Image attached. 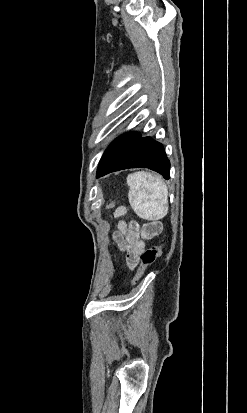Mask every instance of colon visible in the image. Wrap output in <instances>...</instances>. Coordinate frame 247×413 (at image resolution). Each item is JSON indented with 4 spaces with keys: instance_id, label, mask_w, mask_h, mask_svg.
<instances>
[{
    "instance_id": "obj_1",
    "label": "colon",
    "mask_w": 247,
    "mask_h": 413,
    "mask_svg": "<svg viewBox=\"0 0 247 413\" xmlns=\"http://www.w3.org/2000/svg\"><path fill=\"white\" fill-rule=\"evenodd\" d=\"M164 244L153 246L142 251L141 265L138 266V270L132 280V284H136L140 278L141 273H145L148 268L153 266V262L163 254Z\"/></svg>"
}]
</instances>
